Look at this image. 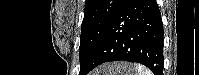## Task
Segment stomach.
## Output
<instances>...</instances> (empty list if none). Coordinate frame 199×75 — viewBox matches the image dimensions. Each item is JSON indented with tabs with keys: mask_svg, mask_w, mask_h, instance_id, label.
<instances>
[{
	"mask_svg": "<svg viewBox=\"0 0 199 75\" xmlns=\"http://www.w3.org/2000/svg\"><path fill=\"white\" fill-rule=\"evenodd\" d=\"M114 68L113 70L111 68ZM117 67H120L117 68ZM103 74V75H131L133 73V66L127 63H113L107 64L102 67L100 72H96V75Z\"/></svg>",
	"mask_w": 199,
	"mask_h": 75,
	"instance_id": "obj_1",
	"label": "stomach"
}]
</instances>
